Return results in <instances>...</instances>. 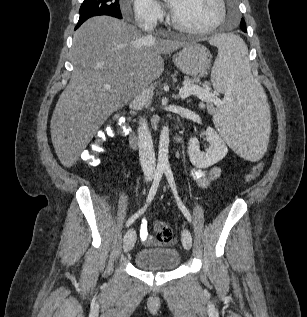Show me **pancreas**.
Returning a JSON list of instances; mask_svg holds the SVG:
<instances>
[{"label":"pancreas","mask_w":307,"mask_h":317,"mask_svg":"<svg viewBox=\"0 0 307 317\" xmlns=\"http://www.w3.org/2000/svg\"><path fill=\"white\" fill-rule=\"evenodd\" d=\"M206 105H207L208 111H209V112H213V105H212V103H211L210 101H207Z\"/></svg>","instance_id":"1"}]
</instances>
